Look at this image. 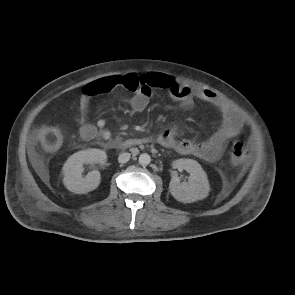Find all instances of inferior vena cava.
Here are the masks:
<instances>
[{
  "label": "inferior vena cava",
  "instance_id": "602c4592",
  "mask_svg": "<svg viewBox=\"0 0 295 295\" xmlns=\"http://www.w3.org/2000/svg\"><path fill=\"white\" fill-rule=\"evenodd\" d=\"M130 157H131L130 153H127V152L121 153L118 157V162L126 163L129 161Z\"/></svg>",
  "mask_w": 295,
  "mask_h": 295
}]
</instances>
